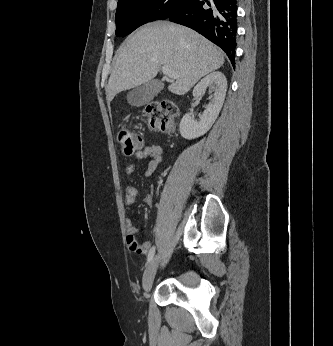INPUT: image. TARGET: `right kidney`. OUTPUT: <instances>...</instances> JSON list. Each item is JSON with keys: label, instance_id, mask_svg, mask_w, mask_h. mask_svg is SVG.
Returning a JSON list of instances; mask_svg holds the SVG:
<instances>
[{"label": "right kidney", "instance_id": "obj_1", "mask_svg": "<svg viewBox=\"0 0 333 346\" xmlns=\"http://www.w3.org/2000/svg\"><path fill=\"white\" fill-rule=\"evenodd\" d=\"M213 93L210 103L205 107V111L200 116L199 121H195L190 114H185L181 119L179 130L183 138L191 140L205 134L214 124L223 106L227 80L220 71H215L205 76L193 89V97H200L205 90Z\"/></svg>", "mask_w": 333, "mask_h": 346}]
</instances>
